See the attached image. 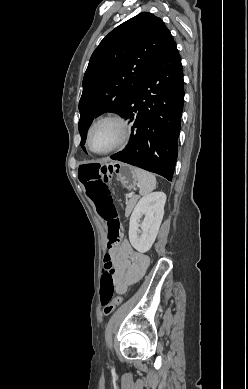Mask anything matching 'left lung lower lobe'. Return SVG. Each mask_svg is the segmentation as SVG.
<instances>
[{
	"label": "left lung lower lobe",
	"instance_id": "obj_1",
	"mask_svg": "<svg viewBox=\"0 0 248 389\" xmlns=\"http://www.w3.org/2000/svg\"><path fill=\"white\" fill-rule=\"evenodd\" d=\"M184 102L181 58L176 43L150 69L119 114L134 121L127 147L111 156L172 181Z\"/></svg>",
	"mask_w": 248,
	"mask_h": 389
}]
</instances>
